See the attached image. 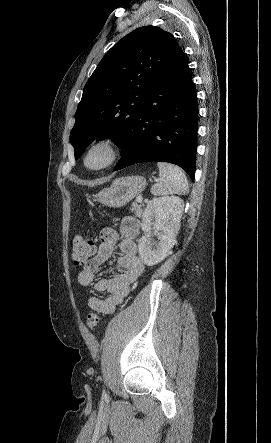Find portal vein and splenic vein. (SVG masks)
I'll list each match as a JSON object with an SVG mask.
<instances>
[{
  "label": "portal vein and splenic vein",
  "instance_id": "1",
  "mask_svg": "<svg viewBox=\"0 0 271 443\" xmlns=\"http://www.w3.org/2000/svg\"><path fill=\"white\" fill-rule=\"evenodd\" d=\"M136 202H139V204H142V202H143L142 193H139L138 198H136Z\"/></svg>",
  "mask_w": 271,
  "mask_h": 443
}]
</instances>
